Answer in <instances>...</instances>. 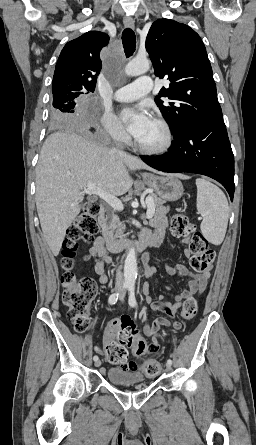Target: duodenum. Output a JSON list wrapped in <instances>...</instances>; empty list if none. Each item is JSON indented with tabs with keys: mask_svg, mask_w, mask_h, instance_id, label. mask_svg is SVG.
<instances>
[{
	"mask_svg": "<svg viewBox=\"0 0 256 445\" xmlns=\"http://www.w3.org/2000/svg\"><path fill=\"white\" fill-rule=\"evenodd\" d=\"M106 211L104 207H100L99 210V220L101 223L104 222ZM103 237L106 242V245L108 249L112 252H119L123 249H134L136 251H143L148 246H150L153 241L152 238L148 235H141L137 239H128V238H118L114 237L111 234L107 233L106 231H103ZM146 254L143 256V260H147Z\"/></svg>",
	"mask_w": 256,
	"mask_h": 445,
	"instance_id": "duodenum-1",
	"label": "duodenum"
}]
</instances>
